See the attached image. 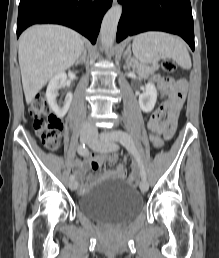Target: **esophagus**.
<instances>
[{
  "label": "esophagus",
  "instance_id": "34e87169",
  "mask_svg": "<svg viewBox=\"0 0 219 258\" xmlns=\"http://www.w3.org/2000/svg\"><path fill=\"white\" fill-rule=\"evenodd\" d=\"M117 2V0H113V3H116Z\"/></svg>",
  "mask_w": 219,
  "mask_h": 258
}]
</instances>
